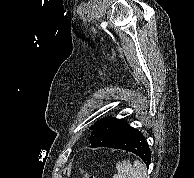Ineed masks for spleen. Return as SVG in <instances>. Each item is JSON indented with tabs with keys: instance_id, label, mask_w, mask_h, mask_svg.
<instances>
[{
	"instance_id": "1",
	"label": "spleen",
	"mask_w": 194,
	"mask_h": 178,
	"mask_svg": "<svg viewBox=\"0 0 194 178\" xmlns=\"http://www.w3.org/2000/svg\"><path fill=\"white\" fill-rule=\"evenodd\" d=\"M117 174L113 178H148L146 167L139 160H135L133 165L128 160L116 163Z\"/></svg>"
}]
</instances>
